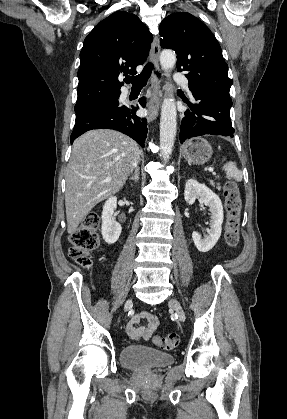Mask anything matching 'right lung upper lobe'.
Listing matches in <instances>:
<instances>
[{
    "label": "right lung upper lobe",
    "mask_w": 287,
    "mask_h": 419,
    "mask_svg": "<svg viewBox=\"0 0 287 419\" xmlns=\"http://www.w3.org/2000/svg\"><path fill=\"white\" fill-rule=\"evenodd\" d=\"M153 40L148 28L134 15L117 11L102 20L84 40L78 70L75 107L120 95L121 74H136Z\"/></svg>",
    "instance_id": "1"
}]
</instances>
